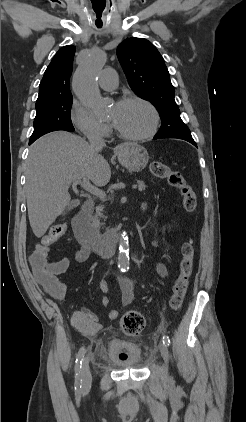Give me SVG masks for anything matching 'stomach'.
Listing matches in <instances>:
<instances>
[{
  "mask_svg": "<svg viewBox=\"0 0 246 422\" xmlns=\"http://www.w3.org/2000/svg\"><path fill=\"white\" fill-rule=\"evenodd\" d=\"M117 155L120 163L133 172L142 171L149 161L147 150L136 143H123L119 146Z\"/></svg>",
  "mask_w": 246,
  "mask_h": 422,
  "instance_id": "1",
  "label": "stomach"
}]
</instances>
